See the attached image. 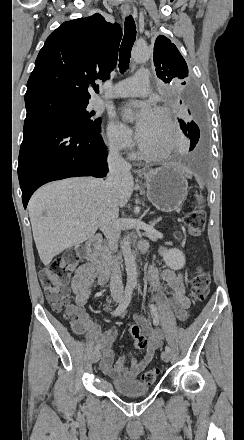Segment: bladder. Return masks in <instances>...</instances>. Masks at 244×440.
<instances>
[{
	"label": "bladder",
	"instance_id": "obj_1",
	"mask_svg": "<svg viewBox=\"0 0 244 440\" xmlns=\"http://www.w3.org/2000/svg\"><path fill=\"white\" fill-rule=\"evenodd\" d=\"M114 392H119L124 396L143 395L150 392V386L144 384L142 379L116 380L114 381Z\"/></svg>",
	"mask_w": 244,
	"mask_h": 440
}]
</instances>
